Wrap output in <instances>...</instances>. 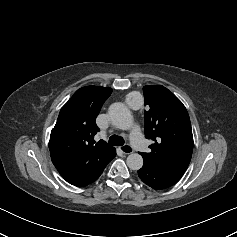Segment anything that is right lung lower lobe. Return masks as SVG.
<instances>
[{
  "label": "right lung lower lobe",
  "instance_id": "obj_1",
  "mask_svg": "<svg viewBox=\"0 0 237 237\" xmlns=\"http://www.w3.org/2000/svg\"><path fill=\"white\" fill-rule=\"evenodd\" d=\"M115 155L116 152L108 161L92 168L78 167L61 157L52 158V162L67 182L77 187H84L94 182L101 175L106 165L115 157Z\"/></svg>",
  "mask_w": 237,
  "mask_h": 237
}]
</instances>
